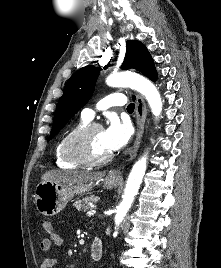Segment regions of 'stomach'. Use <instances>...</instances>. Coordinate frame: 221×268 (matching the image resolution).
Instances as JSON below:
<instances>
[{
  "instance_id": "stomach-1",
  "label": "stomach",
  "mask_w": 221,
  "mask_h": 268,
  "mask_svg": "<svg viewBox=\"0 0 221 268\" xmlns=\"http://www.w3.org/2000/svg\"><path fill=\"white\" fill-rule=\"evenodd\" d=\"M119 178L110 174L104 179V185L112 189L119 183ZM93 183L63 184L50 181L40 182L34 192V203L39 213L45 216H54L62 211L74 195L89 192Z\"/></svg>"
}]
</instances>
